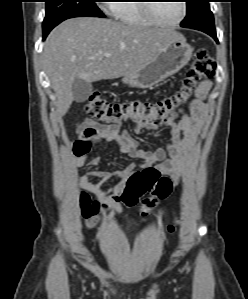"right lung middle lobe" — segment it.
I'll use <instances>...</instances> for the list:
<instances>
[{
  "mask_svg": "<svg viewBox=\"0 0 248 299\" xmlns=\"http://www.w3.org/2000/svg\"><path fill=\"white\" fill-rule=\"evenodd\" d=\"M96 0H46V15L43 21L44 38L60 22L81 16L105 17L96 6Z\"/></svg>",
  "mask_w": 248,
  "mask_h": 299,
  "instance_id": "right-lung-middle-lobe-1",
  "label": "right lung middle lobe"
}]
</instances>
